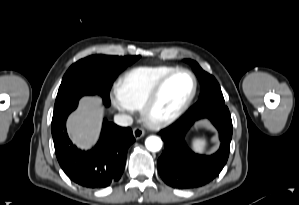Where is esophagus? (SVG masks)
<instances>
[{
  "instance_id": "34e87169",
  "label": "esophagus",
  "mask_w": 299,
  "mask_h": 205,
  "mask_svg": "<svg viewBox=\"0 0 299 205\" xmlns=\"http://www.w3.org/2000/svg\"><path fill=\"white\" fill-rule=\"evenodd\" d=\"M145 134L144 130L140 127H136L133 129V135L135 137V139H140L141 137H143Z\"/></svg>"
}]
</instances>
